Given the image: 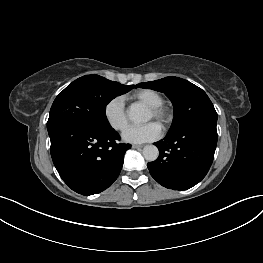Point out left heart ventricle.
<instances>
[{"label": "left heart ventricle", "instance_id": "b2bd125f", "mask_svg": "<svg viewBox=\"0 0 263 263\" xmlns=\"http://www.w3.org/2000/svg\"><path fill=\"white\" fill-rule=\"evenodd\" d=\"M153 118H154L153 113L151 111H149L147 120H151Z\"/></svg>", "mask_w": 263, "mask_h": 263}]
</instances>
